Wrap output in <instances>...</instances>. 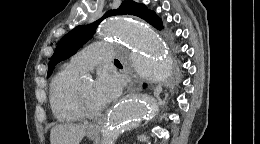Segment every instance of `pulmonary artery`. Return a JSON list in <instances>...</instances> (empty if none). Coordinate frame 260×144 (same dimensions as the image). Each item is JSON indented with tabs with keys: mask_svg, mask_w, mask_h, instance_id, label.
I'll return each mask as SVG.
<instances>
[{
	"mask_svg": "<svg viewBox=\"0 0 260 144\" xmlns=\"http://www.w3.org/2000/svg\"><path fill=\"white\" fill-rule=\"evenodd\" d=\"M113 58L114 50L111 45L96 43L75 54L71 59V63L82 72H87L99 63L112 62Z\"/></svg>",
	"mask_w": 260,
	"mask_h": 144,
	"instance_id": "1",
	"label": "pulmonary artery"
}]
</instances>
